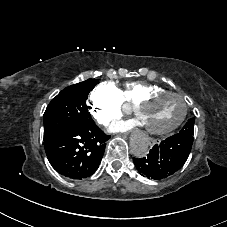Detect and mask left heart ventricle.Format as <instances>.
I'll use <instances>...</instances> for the list:
<instances>
[{
  "label": "left heart ventricle",
  "mask_w": 227,
  "mask_h": 227,
  "mask_svg": "<svg viewBox=\"0 0 227 227\" xmlns=\"http://www.w3.org/2000/svg\"><path fill=\"white\" fill-rule=\"evenodd\" d=\"M183 110L181 99L173 95H163L140 107L137 124L145 130H165L178 121Z\"/></svg>",
  "instance_id": "1"
}]
</instances>
